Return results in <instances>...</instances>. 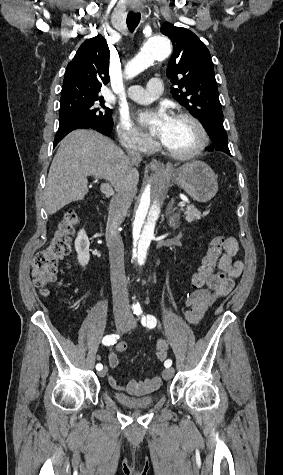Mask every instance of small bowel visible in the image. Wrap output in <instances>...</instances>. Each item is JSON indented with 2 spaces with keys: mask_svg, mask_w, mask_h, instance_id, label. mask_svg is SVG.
I'll return each mask as SVG.
<instances>
[{
  "mask_svg": "<svg viewBox=\"0 0 283 475\" xmlns=\"http://www.w3.org/2000/svg\"><path fill=\"white\" fill-rule=\"evenodd\" d=\"M225 242L228 243V250L224 251L221 264L222 269L214 274V283H209L208 291H193L186 299L187 310L185 311V320L191 326H197L204 314L214 301L221 296L230 294L235 285V279L240 277L243 271V263L240 260H236L235 257L238 254L239 246L238 242L233 237L226 238ZM126 349V344L120 343L116 346L115 350L109 352L108 366L111 369H115L119 365V358L117 353ZM109 384L113 388H119L120 385L114 376H109ZM161 382L160 376H153L144 381L132 380L128 384L130 391H135L141 386L157 387Z\"/></svg>",
  "mask_w": 283,
  "mask_h": 475,
  "instance_id": "obj_1",
  "label": "small bowel"
}]
</instances>
